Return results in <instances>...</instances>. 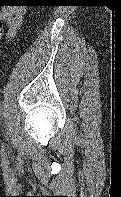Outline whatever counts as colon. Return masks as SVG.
Listing matches in <instances>:
<instances>
[{
    "label": "colon",
    "instance_id": "colon-1",
    "mask_svg": "<svg viewBox=\"0 0 121 197\" xmlns=\"http://www.w3.org/2000/svg\"><path fill=\"white\" fill-rule=\"evenodd\" d=\"M3 34H4L3 23H2V21L0 20V40L2 39Z\"/></svg>",
    "mask_w": 121,
    "mask_h": 197
}]
</instances>
